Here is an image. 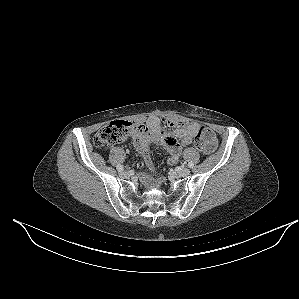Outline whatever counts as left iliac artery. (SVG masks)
I'll list each match as a JSON object with an SVG mask.
<instances>
[{
	"label": "left iliac artery",
	"instance_id": "44dca946",
	"mask_svg": "<svg viewBox=\"0 0 299 299\" xmlns=\"http://www.w3.org/2000/svg\"><path fill=\"white\" fill-rule=\"evenodd\" d=\"M188 167H189V168H193V167H194V163H193V162H189V163H188Z\"/></svg>",
	"mask_w": 299,
	"mask_h": 299
}]
</instances>
